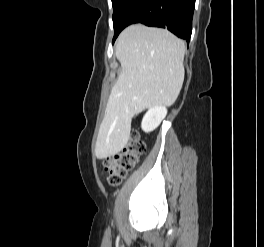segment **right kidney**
<instances>
[{
	"instance_id": "right-kidney-1",
	"label": "right kidney",
	"mask_w": 264,
	"mask_h": 247,
	"mask_svg": "<svg viewBox=\"0 0 264 247\" xmlns=\"http://www.w3.org/2000/svg\"><path fill=\"white\" fill-rule=\"evenodd\" d=\"M167 109L165 106H154L144 115L141 127L144 132L155 130L166 117Z\"/></svg>"
}]
</instances>
